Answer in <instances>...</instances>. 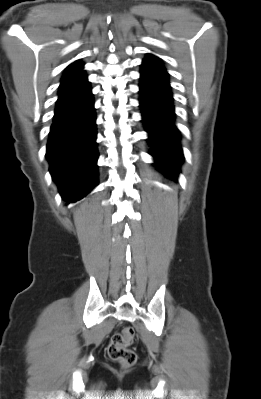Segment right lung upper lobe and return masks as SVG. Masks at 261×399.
<instances>
[{"instance_id": "cb5924a9", "label": "right lung upper lobe", "mask_w": 261, "mask_h": 399, "mask_svg": "<svg viewBox=\"0 0 261 399\" xmlns=\"http://www.w3.org/2000/svg\"><path fill=\"white\" fill-rule=\"evenodd\" d=\"M83 63L80 61H76L72 64H70L67 68L66 71L61 79V84L73 81L75 79H78L82 76L85 75V71L82 70L83 68Z\"/></svg>"}]
</instances>
